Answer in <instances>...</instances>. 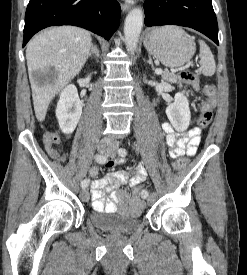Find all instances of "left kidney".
Wrapping results in <instances>:
<instances>
[{
    "label": "left kidney",
    "instance_id": "left-kidney-1",
    "mask_svg": "<svg viewBox=\"0 0 247 275\" xmlns=\"http://www.w3.org/2000/svg\"><path fill=\"white\" fill-rule=\"evenodd\" d=\"M166 115L175 130L185 131L191 120L189 102L182 93H176L174 102L166 108Z\"/></svg>",
    "mask_w": 247,
    "mask_h": 275
}]
</instances>
